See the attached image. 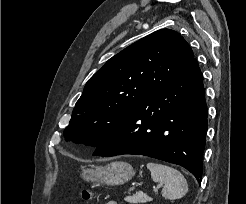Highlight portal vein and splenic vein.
<instances>
[{
	"label": "portal vein and splenic vein",
	"mask_w": 246,
	"mask_h": 204,
	"mask_svg": "<svg viewBox=\"0 0 246 204\" xmlns=\"http://www.w3.org/2000/svg\"><path fill=\"white\" fill-rule=\"evenodd\" d=\"M160 187H162V184H159L157 187H154V188H153V191H154V192L158 191V189H159Z\"/></svg>",
	"instance_id": "18ae733b"
}]
</instances>
